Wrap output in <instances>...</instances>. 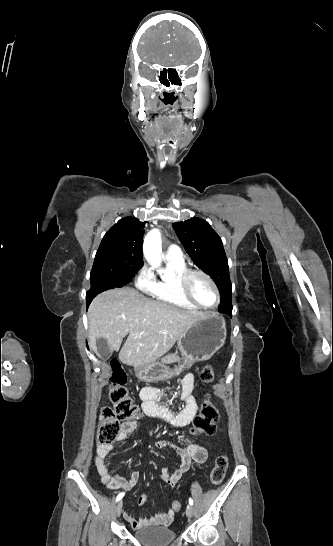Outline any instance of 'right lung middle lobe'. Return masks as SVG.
<instances>
[{"label":"right lung middle lobe","instance_id":"dd1d6c3e","mask_svg":"<svg viewBox=\"0 0 333 546\" xmlns=\"http://www.w3.org/2000/svg\"><path fill=\"white\" fill-rule=\"evenodd\" d=\"M141 267H132L125 256L118 254H96L90 274V296L102 291L122 287L132 280Z\"/></svg>","mask_w":333,"mask_h":546}]
</instances>
